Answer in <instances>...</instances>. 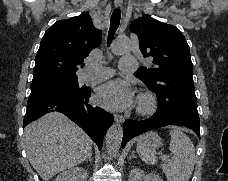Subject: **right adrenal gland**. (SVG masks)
I'll return each mask as SVG.
<instances>
[{"label":"right adrenal gland","mask_w":228,"mask_h":181,"mask_svg":"<svg viewBox=\"0 0 228 181\" xmlns=\"http://www.w3.org/2000/svg\"><path fill=\"white\" fill-rule=\"evenodd\" d=\"M85 161H90V163H92V153L89 155L88 159H85Z\"/></svg>","instance_id":"right-adrenal-gland-1"}]
</instances>
